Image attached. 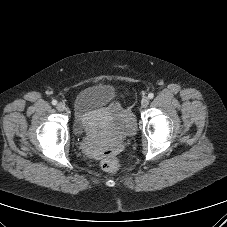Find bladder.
<instances>
[{
  "label": "bladder",
  "instance_id": "obj_1",
  "mask_svg": "<svg viewBox=\"0 0 227 227\" xmlns=\"http://www.w3.org/2000/svg\"><path fill=\"white\" fill-rule=\"evenodd\" d=\"M115 97V89L106 84L82 89L74 100V134L81 136L91 130L104 117L106 107Z\"/></svg>",
  "mask_w": 227,
  "mask_h": 227
}]
</instances>
